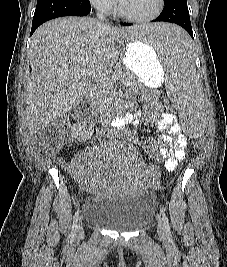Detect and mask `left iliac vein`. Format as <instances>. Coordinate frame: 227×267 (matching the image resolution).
<instances>
[{"mask_svg": "<svg viewBox=\"0 0 227 267\" xmlns=\"http://www.w3.org/2000/svg\"><path fill=\"white\" fill-rule=\"evenodd\" d=\"M157 233L160 237H165V235H166L165 226H164V223L160 217H158Z\"/></svg>", "mask_w": 227, "mask_h": 267, "instance_id": "1", "label": "left iliac vein"}]
</instances>
